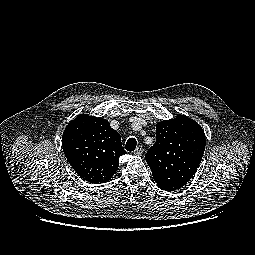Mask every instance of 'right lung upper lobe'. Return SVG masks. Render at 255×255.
Returning a JSON list of instances; mask_svg holds the SVG:
<instances>
[{
	"label": "right lung upper lobe",
	"mask_w": 255,
	"mask_h": 255,
	"mask_svg": "<svg viewBox=\"0 0 255 255\" xmlns=\"http://www.w3.org/2000/svg\"><path fill=\"white\" fill-rule=\"evenodd\" d=\"M64 154L84 180L105 183L115 174L119 157L126 152L120 134L103 119L87 114L70 122L62 136Z\"/></svg>",
	"instance_id": "1"
}]
</instances>
